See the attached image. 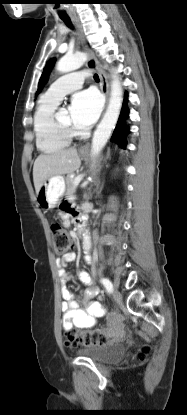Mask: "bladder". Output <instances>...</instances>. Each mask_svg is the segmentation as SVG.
<instances>
[{"mask_svg": "<svg viewBox=\"0 0 187 415\" xmlns=\"http://www.w3.org/2000/svg\"><path fill=\"white\" fill-rule=\"evenodd\" d=\"M126 351V343L115 342L103 347L81 348L76 350L78 355L87 357L98 363H111L121 359Z\"/></svg>", "mask_w": 187, "mask_h": 415, "instance_id": "obj_1", "label": "bladder"}]
</instances>
